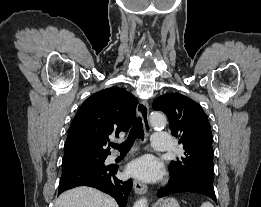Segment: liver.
<instances>
[{
	"label": "liver",
	"instance_id": "1",
	"mask_svg": "<svg viewBox=\"0 0 261 207\" xmlns=\"http://www.w3.org/2000/svg\"><path fill=\"white\" fill-rule=\"evenodd\" d=\"M54 207H119L109 195L86 186L65 191L56 200Z\"/></svg>",
	"mask_w": 261,
	"mask_h": 207
}]
</instances>
